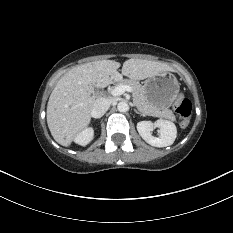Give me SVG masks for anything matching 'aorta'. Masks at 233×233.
Returning <instances> with one entry per match:
<instances>
[{"label":"aorta","mask_w":233,"mask_h":233,"mask_svg":"<svg viewBox=\"0 0 233 233\" xmlns=\"http://www.w3.org/2000/svg\"><path fill=\"white\" fill-rule=\"evenodd\" d=\"M128 108H129V106L125 101H121L117 105V109L119 112H126V111H128Z\"/></svg>","instance_id":"obj_1"}]
</instances>
